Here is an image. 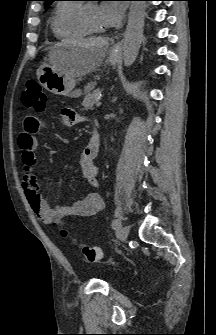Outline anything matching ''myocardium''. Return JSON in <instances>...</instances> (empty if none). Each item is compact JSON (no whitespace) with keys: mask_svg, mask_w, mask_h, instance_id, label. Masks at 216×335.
Instances as JSON below:
<instances>
[{"mask_svg":"<svg viewBox=\"0 0 216 335\" xmlns=\"http://www.w3.org/2000/svg\"><path fill=\"white\" fill-rule=\"evenodd\" d=\"M81 21L83 23V25L85 26V28L89 31V33L91 34H101L103 33V29H96L95 27L92 26V24L90 23L87 13H86V9L85 7H83L81 9Z\"/></svg>","mask_w":216,"mask_h":335,"instance_id":"myocardium-1","label":"myocardium"}]
</instances>
